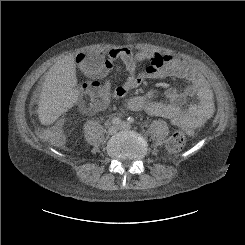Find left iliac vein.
Masks as SVG:
<instances>
[{"mask_svg": "<svg viewBox=\"0 0 245 245\" xmlns=\"http://www.w3.org/2000/svg\"><path fill=\"white\" fill-rule=\"evenodd\" d=\"M118 129H120V130H130L131 129V125L128 122H126V121H122L118 125Z\"/></svg>", "mask_w": 245, "mask_h": 245, "instance_id": "left-iliac-vein-1", "label": "left iliac vein"}]
</instances>
